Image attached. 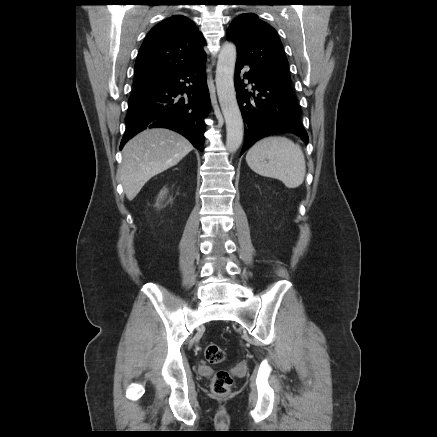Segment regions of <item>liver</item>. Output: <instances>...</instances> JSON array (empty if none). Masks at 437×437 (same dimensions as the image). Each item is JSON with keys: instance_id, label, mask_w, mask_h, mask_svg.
<instances>
[{"instance_id": "6515ba94", "label": "liver", "mask_w": 437, "mask_h": 437, "mask_svg": "<svg viewBox=\"0 0 437 437\" xmlns=\"http://www.w3.org/2000/svg\"><path fill=\"white\" fill-rule=\"evenodd\" d=\"M192 144L181 134L166 128L146 129L122 150L120 180L128 200H133L155 175L178 164Z\"/></svg>"}]
</instances>
